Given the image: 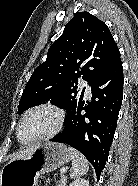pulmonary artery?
Returning a JSON list of instances; mask_svg holds the SVG:
<instances>
[{"label": "pulmonary artery", "mask_w": 138, "mask_h": 186, "mask_svg": "<svg viewBox=\"0 0 138 186\" xmlns=\"http://www.w3.org/2000/svg\"><path fill=\"white\" fill-rule=\"evenodd\" d=\"M81 86L85 88L86 96L89 97L91 95V87L89 86L88 82L83 80L81 82Z\"/></svg>", "instance_id": "1"}]
</instances>
